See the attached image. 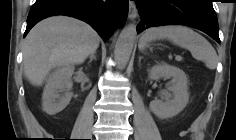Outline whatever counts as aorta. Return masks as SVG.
<instances>
[{
  "label": "aorta",
  "instance_id": "aorta-1",
  "mask_svg": "<svg viewBox=\"0 0 236 140\" xmlns=\"http://www.w3.org/2000/svg\"><path fill=\"white\" fill-rule=\"evenodd\" d=\"M136 26H126L120 33L115 46V61L120 67H124L131 56L136 39Z\"/></svg>",
  "mask_w": 236,
  "mask_h": 140
}]
</instances>
